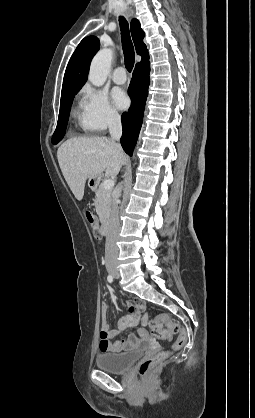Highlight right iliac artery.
<instances>
[{"label": "right iliac artery", "instance_id": "right-iliac-artery-1", "mask_svg": "<svg viewBox=\"0 0 255 418\" xmlns=\"http://www.w3.org/2000/svg\"><path fill=\"white\" fill-rule=\"evenodd\" d=\"M107 280L109 283L113 282V276L111 274L108 275Z\"/></svg>", "mask_w": 255, "mask_h": 418}]
</instances>
